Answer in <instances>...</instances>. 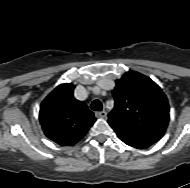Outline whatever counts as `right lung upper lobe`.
<instances>
[{
    "label": "right lung upper lobe",
    "mask_w": 190,
    "mask_h": 188,
    "mask_svg": "<svg viewBox=\"0 0 190 188\" xmlns=\"http://www.w3.org/2000/svg\"><path fill=\"white\" fill-rule=\"evenodd\" d=\"M71 83L56 87L41 103L39 120L45 135L61 146L80 141L96 121L86 104L74 98Z\"/></svg>",
    "instance_id": "obj_1"
}]
</instances>
